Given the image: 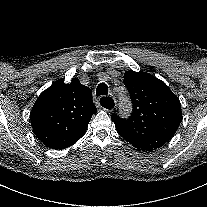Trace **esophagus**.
Segmentation results:
<instances>
[{
	"label": "esophagus",
	"instance_id": "esophagus-1",
	"mask_svg": "<svg viewBox=\"0 0 207 207\" xmlns=\"http://www.w3.org/2000/svg\"><path fill=\"white\" fill-rule=\"evenodd\" d=\"M96 103H97V105L99 106L98 101H97ZM100 104H101V106L103 107V109H104L105 111H112V110H114V109L116 108V106H117L116 101H115L114 99H112L111 97H109V96H105V97H103V98L101 99V101H100Z\"/></svg>",
	"mask_w": 207,
	"mask_h": 207
}]
</instances>
